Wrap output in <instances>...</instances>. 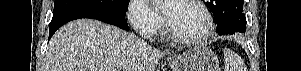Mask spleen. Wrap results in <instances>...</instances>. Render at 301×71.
Masks as SVG:
<instances>
[{
    "label": "spleen",
    "instance_id": "spleen-1",
    "mask_svg": "<svg viewBox=\"0 0 301 71\" xmlns=\"http://www.w3.org/2000/svg\"><path fill=\"white\" fill-rule=\"evenodd\" d=\"M225 70L224 71H246L244 62L235 52L224 48Z\"/></svg>",
    "mask_w": 301,
    "mask_h": 71
}]
</instances>
